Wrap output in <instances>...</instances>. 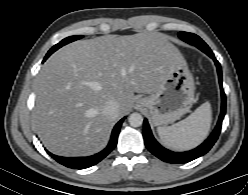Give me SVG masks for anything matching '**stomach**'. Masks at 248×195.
Here are the masks:
<instances>
[{"mask_svg": "<svg viewBox=\"0 0 248 195\" xmlns=\"http://www.w3.org/2000/svg\"><path fill=\"white\" fill-rule=\"evenodd\" d=\"M195 84L185 61L171 64L158 89L138 101L155 126L168 125L190 111L195 102Z\"/></svg>", "mask_w": 248, "mask_h": 195, "instance_id": "stomach-1", "label": "stomach"}]
</instances>
